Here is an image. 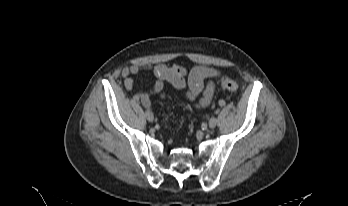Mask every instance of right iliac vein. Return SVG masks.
I'll use <instances>...</instances> for the list:
<instances>
[{"label": "right iliac vein", "instance_id": "1", "mask_svg": "<svg viewBox=\"0 0 348 206\" xmlns=\"http://www.w3.org/2000/svg\"><path fill=\"white\" fill-rule=\"evenodd\" d=\"M145 116H146V118H147V120H148L149 122H153V120H154V115H153V113H152L151 111L147 110V111L145 112Z\"/></svg>", "mask_w": 348, "mask_h": 206}]
</instances>
